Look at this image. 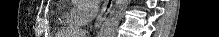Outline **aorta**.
<instances>
[{
  "label": "aorta",
  "instance_id": "762f6f07",
  "mask_svg": "<svg viewBox=\"0 0 219 37\" xmlns=\"http://www.w3.org/2000/svg\"><path fill=\"white\" fill-rule=\"evenodd\" d=\"M129 3L130 0H116L114 8L104 20L97 37H115L120 20Z\"/></svg>",
  "mask_w": 219,
  "mask_h": 37
}]
</instances>
